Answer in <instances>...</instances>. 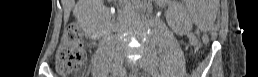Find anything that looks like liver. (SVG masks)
I'll list each match as a JSON object with an SVG mask.
<instances>
[{
	"instance_id": "6515ba94",
	"label": "liver",
	"mask_w": 258,
	"mask_h": 77,
	"mask_svg": "<svg viewBox=\"0 0 258 77\" xmlns=\"http://www.w3.org/2000/svg\"><path fill=\"white\" fill-rule=\"evenodd\" d=\"M62 6L64 8L65 20H68L71 9L75 6V0H61ZM101 4L102 0H80L78 3V9H82L86 4ZM77 16V11L75 12Z\"/></svg>"
}]
</instances>
